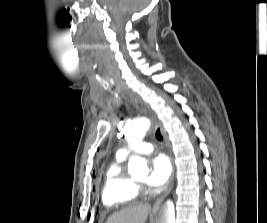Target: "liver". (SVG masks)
I'll return each mask as SVG.
<instances>
[{
    "label": "liver",
    "instance_id": "liver-1",
    "mask_svg": "<svg viewBox=\"0 0 267 223\" xmlns=\"http://www.w3.org/2000/svg\"><path fill=\"white\" fill-rule=\"evenodd\" d=\"M150 210L149 204L129 206L110 215L106 223H145Z\"/></svg>",
    "mask_w": 267,
    "mask_h": 223
}]
</instances>
